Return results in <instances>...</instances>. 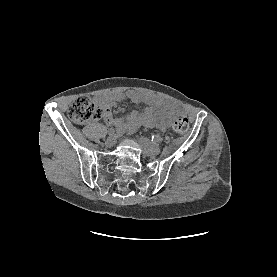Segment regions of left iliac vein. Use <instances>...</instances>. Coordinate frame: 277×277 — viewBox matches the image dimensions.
Instances as JSON below:
<instances>
[{"mask_svg":"<svg viewBox=\"0 0 277 277\" xmlns=\"http://www.w3.org/2000/svg\"><path fill=\"white\" fill-rule=\"evenodd\" d=\"M139 141L145 155L155 156L160 153L159 146L156 143L151 142L148 138L140 137Z\"/></svg>","mask_w":277,"mask_h":277,"instance_id":"1","label":"left iliac vein"}]
</instances>
